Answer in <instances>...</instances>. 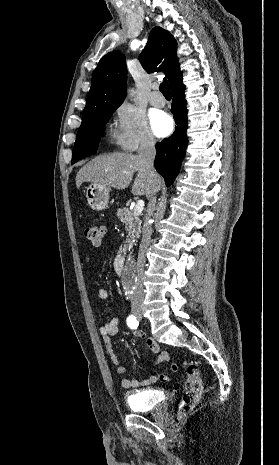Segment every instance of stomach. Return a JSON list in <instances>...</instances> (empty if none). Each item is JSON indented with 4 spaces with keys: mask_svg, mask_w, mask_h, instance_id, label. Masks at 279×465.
I'll list each match as a JSON object with an SVG mask.
<instances>
[{
    "mask_svg": "<svg viewBox=\"0 0 279 465\" xmlns=\"http://www.w3.org/2000/svg\"><path fill=\"white\" fill-rule=\"evenodd\" d=\"M88 205L95 211L105 210L109 202V188L90 184L86 190Z\"/></svg>",
    "mask_w": 279,
    "mask_h": 465,
    "instance_id": "1",
    "label": "stomach"
}]
</instances>
